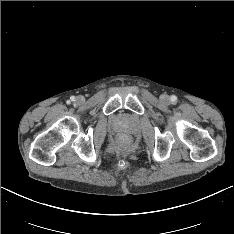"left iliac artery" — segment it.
Listing matches in <instances>:
<instances>
[{"label": "left iliac artery", "mask_w": 234, "mask_h": 234, "mask_svg": "<svg viewBox=\"0 0 234 234\" xmlns=\"http://www.w3.org/2000/svg\"><path fill=\"white\" fill-rule=\"evenodd\" d=\"M170 100L173 104H175L177 102V97L175 95H172Z\"/></svg>", "instance_id": "1"}]
</instances>
